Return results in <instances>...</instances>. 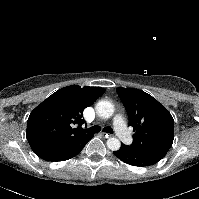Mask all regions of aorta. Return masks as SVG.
<instances>
[{"label": "aorta", "instance_id": "aorta-1", "mask_svg": "<svg viewBox=\"0 0 199 199\" xmlns=\"http://www.w3.org/2000/svg\"><path fill=\"white\" fill-rule=\"evenodd\" d=\"M96 113L102 118H110L114 113V106L111 102L101 100L96 104ZM121 146L119 139L111 137L107 140V147L112 151H117Z\"/></svg>", "mask_w": 199, "mask_h": 199}]
</instances>
